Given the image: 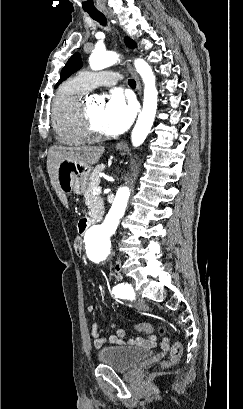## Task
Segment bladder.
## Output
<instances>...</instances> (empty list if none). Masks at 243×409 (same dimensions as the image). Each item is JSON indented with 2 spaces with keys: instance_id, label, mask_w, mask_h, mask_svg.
Segmentation results:
<instances>
[{
  "instance_id": "obj_1",
  "label": "bladder",
  "mask_w": 243,
  "mask_h": 409,
  "mask_svg": "<svg viewBox=\"0 0 243 409\" xmlns=\"http://www.w3.org/2000/svg\"><path fill=\"white\" fill-rule=\"evenodd\" d=\"M151 355L152 351L150 349L113 345L100 349L98 359L102 364L118 371H128Z\"/></svg>"
}]
</instances>
